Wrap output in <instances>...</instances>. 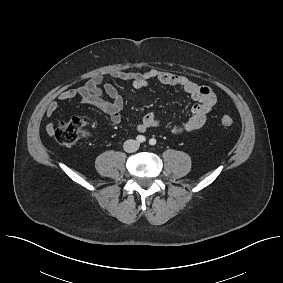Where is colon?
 <instances>
[{
    "instance_id": "5ec220e1",
    "label": "colon",
    "mask_w": 283,
    "mask_h": 283,
    "mask_svg": "<svg viewBox=\"0 0 283 283\" xmlns=\"http://www.w3.org/2000/svg\"><path fill=\"white\" fill-rule=\"evenodd\" d=\"M221 125L229 128L234 125V120L230 116H222ZM90 136V132L86 129V121L81 116H75L67 121L59 123L54 130L56 141L65 146H74L82 137Z\"/></svg>"
}]
</instances>
